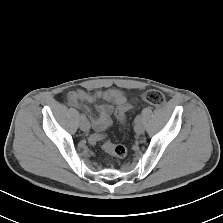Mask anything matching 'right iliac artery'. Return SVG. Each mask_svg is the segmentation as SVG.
<instances>
[{"mask_svg": "<svg viewBox=\"0 0 223 223\" xmlns=\"http://www.w3.org/2000/svg\"><path fill=\"white\" fill-rule=\"evenodd\" d=\"M80 118L81 119H85L86 117H85V115L82 114Z\"/></svg>", "mask_w": 223, "mask_h": 223, "instance_id": "82829eb1", "label": "right iliac artery"}]
</instances>
